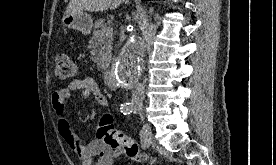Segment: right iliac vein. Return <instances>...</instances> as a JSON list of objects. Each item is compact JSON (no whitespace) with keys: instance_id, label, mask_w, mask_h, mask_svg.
<instances>
[{"instance_id":"obj_1","label":"right iliac vein","mask_w":276,"mask_h":165,"mask_svg":"<svg viewBox=\"0 0 276 165\" xmlns=\"http://www.w3.org/2000/svg\"><path fill=\"white\" fill-rule=\"evenodd\" d=\"M146 135H147V139L150 140L151 139V129L149 126H146Z\"/></svg>"}]
</instances>
